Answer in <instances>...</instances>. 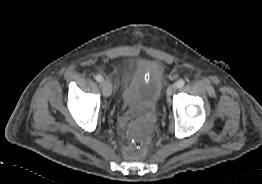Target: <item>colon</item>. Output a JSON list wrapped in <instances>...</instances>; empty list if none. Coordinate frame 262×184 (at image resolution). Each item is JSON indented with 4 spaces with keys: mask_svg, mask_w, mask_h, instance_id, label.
<instances>
[{
    "mask_svg": "<svg viewBox=\"0 0 262 184\" xmlns=\"http://www.w3.org/2000/svg\"><path fill=\"white\" fill-rule=\"evenodd\" d=\"M133 134L132 145L137 151H144L147 147L148 140L147 127L142 123H138L133 127Z\"/></svg>",
    "mask_w": 262,
    "mask_h": 184,
    "instance_id": "1",
    "label": "colon"
}]
</instances>
